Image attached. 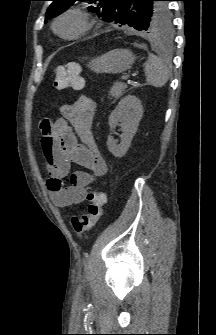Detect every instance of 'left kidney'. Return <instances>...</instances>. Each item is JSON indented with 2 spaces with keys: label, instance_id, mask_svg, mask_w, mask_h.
<instances>
[{
  "label": "left kidney",
  "instance_id": "obj_1",
  "mask_svg": "<svg viewBox=\"0 0 216 335\" xmlns=\"http://www.w3.org/2000/svg\"><path fill=\"white\" fill-rule=\"evenodd\" d=\"M143 115L141 101L133 95H128L120 100L109 116L110 135L107 138L108 150L118 158L123 157L128 151L131 141L137 132L139 122ZM119 122H121L119 124ZM119 125L122 134L120 144L111 136L112 131Z\"/></svg>",
  "mask_w": 216,
  "mask_h": 335
}]
</instances>
